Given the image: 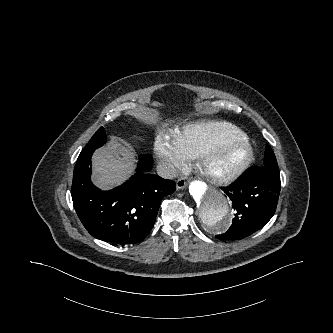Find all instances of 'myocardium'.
<instances>
[{"mask_svg": "<svg viewBox=\"0 0 333 333\" xmlns=\"http://www.w3.org/2000/svg\"><path fill=\"white\" fill-rule=\"evenodd\" d=\"M238 143L243 148V155L239 161L225 171H214L211 162L215 154L223 147ZM254 160V149L248 138L222 137L211 142L197 157L199 169L211 182L225 185L236 180L251 165Z\"/></svg>", "mask_w": 333, "mask_h": 333, "instance_id": "1", "label": "myocardium"}]
</instances>
